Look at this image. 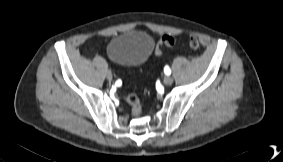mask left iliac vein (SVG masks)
<instances>
[{"label":"left iliac vein","mask_w":283,"mask_h":162,"mask_svg":"<svg viewBox=\"0 0 283 162\" xmlns=\"http://www.w3.org/2000/svg\"><path fill=\"white\" fill-rule=\"evenodd\" d=\"M163 82L165 85H171L173 83V78L170 76H165Z\"/></svg>","instance_id":"4c4485c4"}]
</instances>
